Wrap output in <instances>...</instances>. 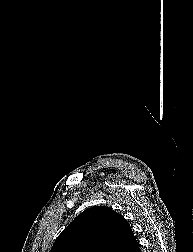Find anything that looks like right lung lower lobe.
I'll return each mask as SVG.
<instances>
[{"instance_id": "right-lung-lower-lobe-1", "label": "right lung lower lobe", "mask_w": 193, "mask_h": 252, "mask_svg": "<svg viewBox=\"0 0 193 252\" xmlns=\"http://www.w3.org/2000/svg\"><path fill=\"white\" fill-rule=\"evenodd\" d=\"M134 252H141L139 246L136 247V249L134 250Z\"/></svg>"}]
</instances>
